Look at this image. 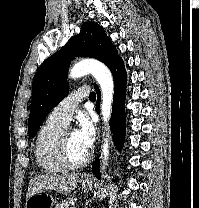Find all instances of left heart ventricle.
<instances>
[{"instance_id": "left-heart-ventricle-1", "label": "left heart ventricle", "mask_w": 199, "mask_h": 208, "mask_svg": "<svg viewBox=\"0 0 199 208\" xmlns=\"http://www.w3.org/2000/svg\"><path fill=\"white\" fill-rule=\"evenodd\" d=\"M86 150L78 141L76 133L73 130L68 131V154L72 161H80L88 154Z\"/></svg>"}]
</instances>
